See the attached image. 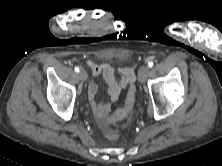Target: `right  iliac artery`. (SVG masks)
Segmentation results:
<instances>
[{
    "mask_svg": "<svg viewBox=\"0 0 222 166\" xmlns=\"http://www.w3.org/2000/svg\"><path fill=\"white\" fill-rule=\"evenodd\" d=\"M79 71H80V69H79V67H75V72H77V73H79Z\"/></svg>",
    "mask_w": 222,
    "mask_h": 166,
    "instance_id": "right-iliac-artery-1",
    "label": "right iliac artery"
}]
</instances>
